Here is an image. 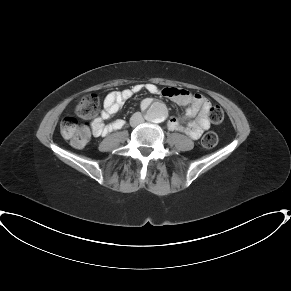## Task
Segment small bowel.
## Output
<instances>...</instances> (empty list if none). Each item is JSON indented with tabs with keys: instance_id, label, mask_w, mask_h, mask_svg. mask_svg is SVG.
<instances>
[{
	"instance_id": "small-bowel-1",
	"label": "small bowel",
	"mask_w": 291,
	"mask_h": 291,
	"mask_svg": "<svg viewBox=\"0 0 291 291\" xmlns=\"http://www.w3.org/2000/svg\"><path fill=\"white\" fill-rule=\"evenodd\" d=\"M142 90L164 96L174 102L187 106L182 120L174 117L168 120L167 126L169 130L183 132L190 138L197 140L210 128V120L208 117L210 103L203 95L190 94L185 90L177 88H160L156 84L148 82L136 84L130 89L108 93L104 100V110L101 115L91 123L93 134L97 137H104L120 129L124 124L122 120L113 121L108 124H104L103 120L116 114L133 94ZM149 104V100H144L142 102V107L147 108ZM182 121H186V123L183 124Z\"/></svg>"
}]
</instances>
